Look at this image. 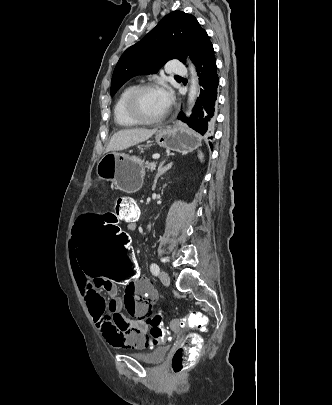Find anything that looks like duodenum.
<instances>
[{"label":"duodenum","instance_id":"410a0bca","mask_svg":"<svg viewBox=\"0 0 332 405\" xmlns=\"http://www.w3.org/2000/svg\"><path fill=\"white\" fill-rule=\"evenodd\" d=\"M140 219V214L135 212L130 216V221L132 222V224L136 225V223L138 222V220Z\"/></svg>","mask_w":332,"mask_h":405}]
</instances>
